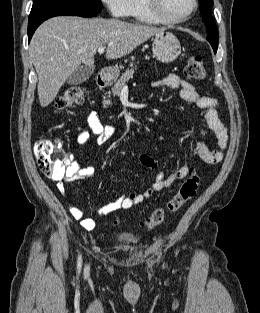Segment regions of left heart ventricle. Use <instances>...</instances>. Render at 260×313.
Masks as SVG:
<instances>
[{
    "label": "left heart ventricle",
    "instance_id": "1",
    "mask_svg": "<svg viewBox=\"0 0 260 313\" xmlns=\"http://www.w3.org/2000/svg\"><path fill=\"white\" fill-rule=\"evenodd\" d=\"M161 12L171 18L179 17L189 11L192 0H160Z\"/></svg>",
    "mask_w": 260,
    "mask_h": 313
}]
</instances>
